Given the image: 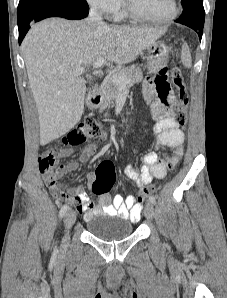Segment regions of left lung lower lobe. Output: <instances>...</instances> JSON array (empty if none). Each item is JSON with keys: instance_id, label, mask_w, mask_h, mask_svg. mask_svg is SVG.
I'll return each instance as SVG.
<instances>
[{"instance_id": "left-lung-lower-lobe-1", "label": "left lung lower lobe", "mask_w": 227, "mask_h": 298, "mask_svg": "<svg viewBox=\"0 0 227 298\" xmlns=\"http://www.w3.org/2000/svg\"><path fill=\"white\" fill-rule=\"evenodd\" d=\"M176 22H177V20H176ZM181 24L186 25V26L192 28L194 31L198 32L199 38L201 39L204 23L194 21V20H189V21L181 23Z\"/></svg>"}]
</instances>
